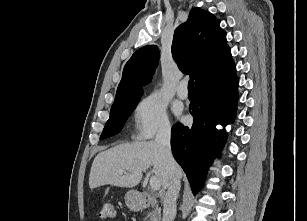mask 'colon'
<instances>
[{"label": "colon", "instance_id": "colon-1", "mask_svg": "<svg viewBox=\"0 0 307 221\" xmlns=\"http://www.w3.org/2000/svg\"><path fill=\"white\" fill-rule=\"evenodd\" d=\"M114 205L111 202H104L99 212V218L102 221H110L114 218Z\"/></svg>", "mask_w": 307, "mask_h": 221}]
</instances>
